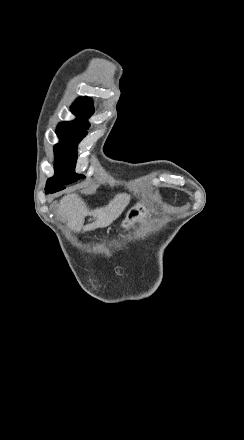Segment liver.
Wrapping results in <instances>:
<instances>
[{"mask_svg": "<svg viewBox=\"0 0 244 440\" xmlns=\"http://www.w3.org/2000/svg\"><path fill=\"white\" fill-rule=\"evenodd\" d=\"M130 202V196L128 194H117L112 202H109L105 208L100 210H88L85 202H82L81 198L75 196V194H68L60 200L58 204V214L66 220L69 228L74 232H89V230H95V228H106L110 226L116 218L121 216L123 210L128 206ZM85 216H93L95 222L83 226Z\"/></svg>", "mask_w": 244, "mask_h": 440, "instance_id": "obj_1", "label": "liver"}]
</instances>
